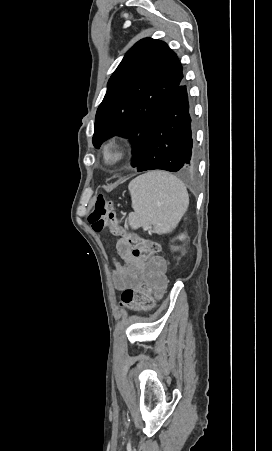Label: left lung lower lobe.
<instances>
[{
    "instance_id": "0a47b994",
    "label": "left lung lower lobe",
    "mask_w": 272,
    "mask_h": 451,
    "mask_svg": "<svg viewBox=\"0 0 272 451\" xmlns=\"http://www.w3.org/2000/svg\"><path fill=\"white\" fill-rule=\"evenodd\" d=\"M196 165L190 105L184 80L163 107L137 171L186 172Z\"/></svg>"
}]
</instances>
